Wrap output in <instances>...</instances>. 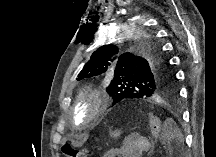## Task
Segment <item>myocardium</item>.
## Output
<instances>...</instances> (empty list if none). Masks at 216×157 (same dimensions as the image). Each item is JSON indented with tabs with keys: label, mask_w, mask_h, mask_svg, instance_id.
<instances>
[{
	"label": "myocardium",
	"mask_w": 216,
	"mask_h": 157,
	"mask_svg": "<svg viewBox=\"0 0 216 157\" xmlns=\"http://www.w3.org/2000/svg\"><path fill=\"white\" fill-rule=\"evenodd\" d=\"M108 104V98L101 90L90 87L81 89L71 110L73 123L78 127L90 125L98 119ZM81 111H84L86 116L82 121H78L77 115Z\"/></svg>",
	"instance_id": "1"
}]
</instances>
